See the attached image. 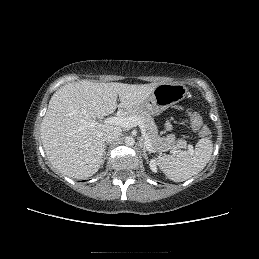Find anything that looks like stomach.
<instances>
[{"mask_svg": "<svg viewBox=\"0 0 259 259\" xmlns=\"http://www.w3.org/2000/svg\"><path fill=\"white\" fill-rule=\"evenodd\" d=\"M187 93L188 88L182 83H161L137 109L146 111L150 115H158L183 100Z\"/></svg>", "mask_w": 259, "mask_h": 259, "instance_id": "stomach-1", "label": "stomach"}]
</instances>
